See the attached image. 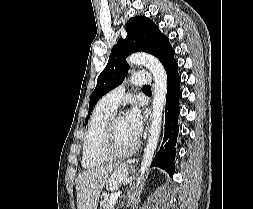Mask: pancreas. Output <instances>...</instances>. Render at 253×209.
<instances>
[{
    "mask_svg": "<svg viewBox=\"0 0 253 209\" xmlns=\"http://www.w3.org/2000/svg\"><path fill=\"white\" fill-rule=\"evenodd\" d=\"M102 207L103 209H114V205H110V196L104 197Z\"/></svg>",
    "mask_w": 253,
    "mask_h": 209,
    "instance_id": "obj_1",
    "label": "pancreas"
}]
</instances>
